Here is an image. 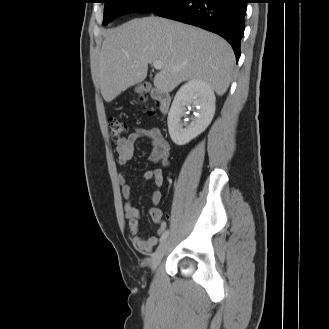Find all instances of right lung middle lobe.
Returning a JSON list of instances; mask_svg holds the SVG:
<instances>
[{"label": "right lung middle lobe", "instance_id": "right-lung-middle-lobe-1", "mask_svg": "<svg viewBox=\"0 0 329 329\" xmlns=\"http://www.w3.org/2000/svg\"><path fill=\"white\" fill-rule=\"evenodd\" d=\"M171 0H103L104 20L108 24L118 16L129 13H151L159 10Z\"/></svg>", "mask_w": 329, "mask_h": 329}]
</instances>
